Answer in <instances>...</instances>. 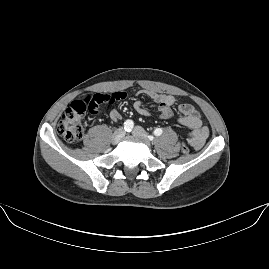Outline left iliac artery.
I'll use <instances>...</instances> for the list:
<instances>
[{
    "label": "left iliac artery",
    "mask_w": 269,
    "mask_h": 269,
    "mask_svg": "<svg viewBox=\"0 0 269 269\" xmlns=\"http://www.w3.org/2000/svg\"><path fill=\"white\" fill-rule=\"evenodd\" d=\"M162 129L161 128H157V129H155L154 130V135H156V136H160L161 134H162ZM148 138L150 139V140H153V136H148Z\"/></svg>",
    "instance_id": "obj_1"
}]
</instances>
